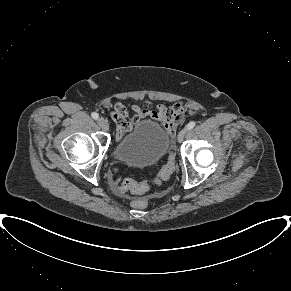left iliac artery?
Instances as JSON below:
<instances>
[{"label": "left iliac artery", "mask_w": 291, "mask_h": 291, "mask_svg": "<svg viewBox=\"0 0 291 291\" xmlns=\"http://www.w3.org/2000/svg\"><path fill=\"white\" fill-rule=\"evenodd\" d=\"M196 123L194 121H191L188 123V125L186 126L187 130H191L195 127Z\"/></svg>", "instance_id": "44dca946"}]
</instances>
